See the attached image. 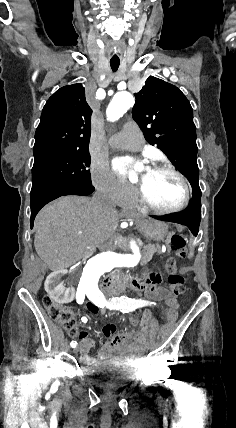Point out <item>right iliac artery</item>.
Wrapping results in <instances>:
<instances>
[{
  "instance_id": "1",
  "label": "right iliac artery",
  "mask_w": 236,
  "mask_h": 428,
  "mask_svg": "<svg viewBox=\"0 0 236 428\" xmlns=\"http://www.w3.org/2000/svg\"><path fill=\"white\" fill-rule=\"evenodd\" d=\"M84 299H85V293L84 292H77L76 293V300H77L78 304H82L84 302ZM70 345H71L72 348H75L77 346V342L76 341H74V342L72 341L70 343Z\"/></svg>"
}]
</instances>
